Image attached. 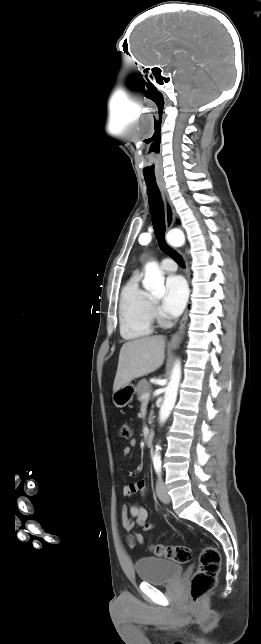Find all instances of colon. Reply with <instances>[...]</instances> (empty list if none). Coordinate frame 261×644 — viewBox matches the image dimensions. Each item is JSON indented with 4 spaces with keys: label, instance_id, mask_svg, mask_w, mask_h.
I'll return each instance as SVG.
<instances>
[{
    "label": "colon",
    "instance_id": "obj_1",
    "mask_svg": "<svg viewBox=\"0 0 261 644\" xmlns=\"http://www.w3.org/2000/svg\"><path fill=\"white\" fill-rule=\"evenodd\" d=\"M132 434L130 424L127 422L122 423L120 436L124 439H130ZM151 550L158 557L181 564L187 563L191 559V550L184 545L157 544L153 545ZM220 563L221 555L215 546L208 545L201 550L198 569L190 581V597L193 603H199L216 586Z\"/></svg>",
    "mask_w": 261,
    "mask_h": 644
}]
</instances>
